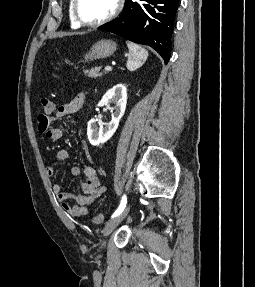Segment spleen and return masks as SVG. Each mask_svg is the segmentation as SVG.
<instances>
[{
	"label": "spleen",
	"instance_id": "3e777b00",
	"mask_svg": "<svg viewBox=\"0 0 255 287\" xmlns=\"http://www.w3.org/2000/svg\"><path fill=\"white\" fill-rule=\"evenodd\" d=\"M127 48L129 50V58L126 64L128 70H136L145 64L148 58L147 50L138 46V44H133V42H126Z\"/></svg>",
	"mask_w": 255,
	"mask_h": 287
}]
</instances>
